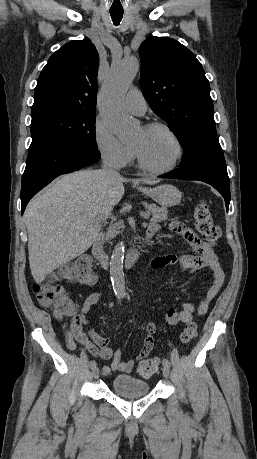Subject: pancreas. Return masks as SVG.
Wrapping results in <instances>:
<instances>
[{"instance_id":"pancreas-1","label":"pancreas","mask_w":257,"mask_h":459,"mask_svg":"<svg viewBox=\"0 0 257 459\" xmlns=\"http://www.w3.org/2000/svg\"><path fill=\"white\" fill-rule=\"evenodd\" d=\"M145 206L147 213L152 215L151 220L155 222H161L167 220V215H168V210L167 208L164 207H157L155 204H147L143 203ZM124 225L122 222H117L115 224H112L109 226L107 233H106V238L107 239H112L116 235L120 233V229H123Z\"/></svg>"}]
</instances>
